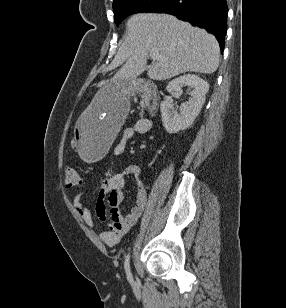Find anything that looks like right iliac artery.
Instances as JSON below:
<instances>
[{
  "mask_svg": "<svg viewBox=\"0 0 286 308\" xmlns=\"http://www.w3.org/2000/svg\"><path fill=\"white\" fill-rule=\"evenodd\" d=\"M130 254H128L126 256V259H125V271H126V274H127V279L132 282L133 281V278H132V274H131V271H130Z\"/></svg>",
  "mask_w": 286,
  "mask_h": 308,
  "instance_id": "82829eb1",
  "label": "right iliac artery"
}]
</instances>
